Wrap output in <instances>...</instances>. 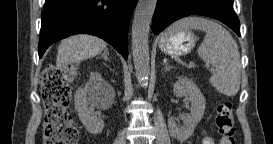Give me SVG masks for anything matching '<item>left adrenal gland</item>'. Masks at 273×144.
<instances>
[{
	"label": "left adrenal gland",
	"mask_w": 273,
	"mask_h": 144,
	"mask_svg": "<svg viewBox=\"0 0 273 144\" xmlns=\"http://www.w3.org/2000/svg\"><path fill=\"white\" fill-rule=\"evenodd\" d=\"M163 65H164V71H169L170 69H172V66H169L165 60L163 62Z\"/></svg>",
	"instance_id": "1"
}]
</instances>
